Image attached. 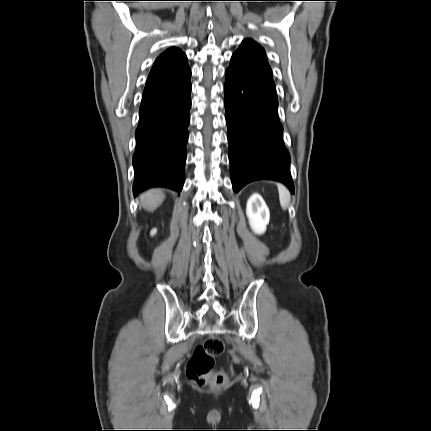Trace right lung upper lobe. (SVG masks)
I'll list each match as a JSON object with an SVG mask.
<instances>
[{
	"label": "right lung upper lobe",
	"instance_id": "obj_1",
	"mask_svg": "<svg viewBox=\"0 0 431 431\" xmlns=\"http://www.w3.org/2000/svg\"><path fill=\"white\" fill-rule=\"evenodd\" d=\"M190 74L185 54L177 48L167 49L154 62L142 100L150 99L166 92Z\"/></svg>",
	"mask_w": 431,
	"mask_h": 431
}]
</instances>
